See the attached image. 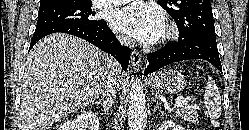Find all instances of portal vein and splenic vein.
Here are the masks:
<instances>
[{
  "label": "portal vein and splenic vein",
  "mask_w": 249,
  "mask_h": 130,
  "mask_svg": "<svg viewBox=\"0 0 249 130\" xmlns=\"http://www.w3.org/2000/svg\"><path fill=\"white\" fill-rule=\"evenodd\" d=\"M189 100H190L189 98L188 99L180 100V101L176 102L174 106L175 107H183V106H185V105L188 104Z\"/></svg>",
  "instance_id": "1"
}]
</instances>
